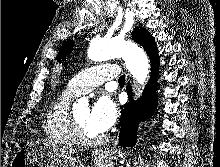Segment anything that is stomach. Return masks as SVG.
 Listing matches in <instances>:
<instances>
[{
	"mask_svg": "<svg viewBox=\"0 0 220 167\" xmlns=\"http://www.w3.org/2000/svg\"><path fill=\"white\" fill-rule=\"evenodd\" d=\"M116 158L114 153L104 152L95 158V167H113ZM11 167H85L82 161L74 156L60 157L43 145L27 144L15 154Z\"/></svg>",
	"mask_w": 220,
	"mask_h": 167,
	"instance_id": "1",
	"label": "stomach"
}]
</instances>
